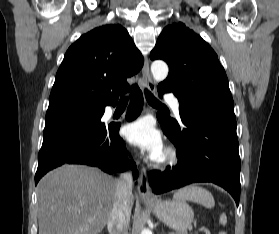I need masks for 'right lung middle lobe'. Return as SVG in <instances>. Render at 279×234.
<instances>
[{
    "label": "right lung middle lobe",
    "mask_w": 279,
    "mask_h": 234,
    "mask_svg": "<svg viewBox=\"0 0 279 234\" xmlns=\"http://www.w3.org/2000/svg\"><path fill=\"white\" fill-rule=\"evenodd\" d=\"M104 108L67 105L47 110L45 128L65 123H97Z\"/></svg>",
    "instance_id": "right-lung-middle-lobe-1"
}]
</instances>
